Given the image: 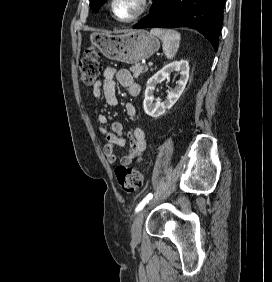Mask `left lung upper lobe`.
Instances as JSON below:
<instances>
[{
	"instance_id": "5c2ea615",
	"label": "left lung upper lobe",
	"mask_w": 272,
	"mask_h": 282,
	"mask_svg": "<svg viewBox=\"0 0 272 282\" xmlns=\"http://www.w3.org/2000/svg\"><path fill=\"white\" fill-rule=\"evenodd\" d=\"M105 1H106V0H91V2H90V8H91L94 12H97V11L99 10L100 6H102Z\"/></svg>"
}]
</instances>
